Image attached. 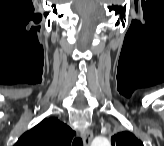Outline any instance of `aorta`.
<instances>
[{
	"label": "aorta",
	"instance_id": "aorta-1",
	"mask_svg": "<svg viewBox=\"0 0 164 146\" xmlns=\"http://www.w3.org/2000/svg\"><path fill=\"white\" fill-rule=\"evenodd\" d=\"M92 146H110V142L107 138L97 137L93 140Z\"/></svg>",
	"mask_w": 164,
	"mask_h": 146
}]
</instances>
